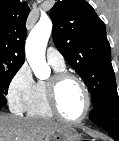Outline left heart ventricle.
<instances>
[{
    "mask_svg": "<svg viewBox=\"0 0 119 141\" xmlns=\"http://www.w3.org/2000/svg\"><path fill=\"white\" fill-rule=\"evenodd\" d=\"M57 99L61 112L68 118H78L85 110L84 92L73 79H68L60 85Z\"/></svg>",
    "mask_w": 119,
    "mask_h": 141,
    "instance_id": "1",
    "label": "left heart ventricle"
}]
</instances>
